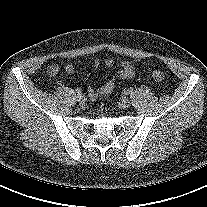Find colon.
Wrapping results in <instances>:
<instances>
[{
  "label": "colon",
  "mask_w": 207,
  "mask_h": 207,
  "mask_svg": "<svg viewBox=\"0 0 207 207\" xmlns=\"http://www.w3.org/2000/svg\"><path fill=\"white\" fill-rule=\"evenodd\" d=\"M151 76L156 81H162L165 77V74L161 70L155 69L151 72Z\"/></svg>",
  "instance_id": "1"
}]
</instances>
